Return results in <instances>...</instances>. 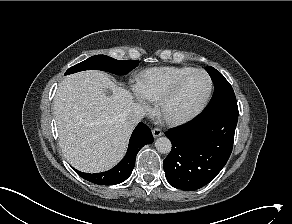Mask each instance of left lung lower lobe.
<instances>
[{"mask_svg": "<svg viewBox=\"0 0 292 224\" xmlns=\"http://www.w3.org/2000/svg\"><path fill=\"white\" fill-rule=\"evenodd\" d=\"M236 102L204 111L195 121L165 135L172 150L163 162L168 182L193 191L211 182L228 161L238 121Z\"/></svg>", "mask_w": 292, "mask_h": 224, "instance_id": "1", "label": "left lung lower lobe"}]
</instances>
